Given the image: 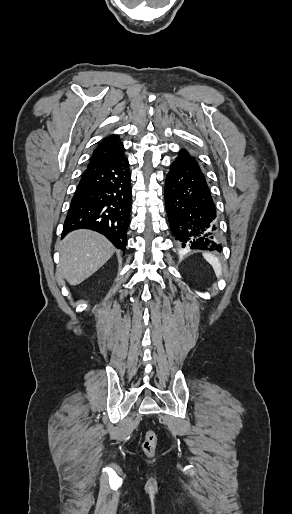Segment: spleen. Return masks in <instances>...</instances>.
<instances>
[{"label":"spleen","instance_id":"obj_1","mask_svg":"<svg viewBox=\"0 0 292 514\" xmlns=\"http://www.w3.org/2000/svg\"><path fill=\"white\" fill-rule=\"evenodd\" d=\"M203 258H205V260H207V262L211 264L217 278H220L222 274V268L218 258H216V256H213V254H207V252L203 254Z\"/></svg>","mask_w":292,"mask_h":514}]
</instances>
